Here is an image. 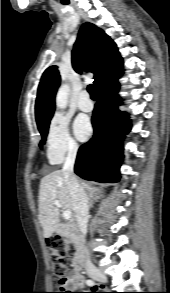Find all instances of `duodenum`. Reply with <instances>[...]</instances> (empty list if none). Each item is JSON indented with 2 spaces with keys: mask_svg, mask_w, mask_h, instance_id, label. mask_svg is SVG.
<instances>
[{
  "mask_svg": "<svg viewBox=\"0 0 170 293\" xmlns=\"http://www.w3.org/2000/svg\"><path fill=\"white\" fill-rule=\"evenodd\" d=\"M54 235H62V236H70V235H76L80 236V228L78 223L75 219H72L67 224H58L54 227L53 231ZM82 243L80 241V248L78 253L73 258V267L76 271H80L83 268V261H84V255L82 252Z\"/></svg>",
  "mask_w": 170,
  "mask_h": 293,
  "instance_id": "410a0bca",
  "label": "duodenum"
}]
</instances>
